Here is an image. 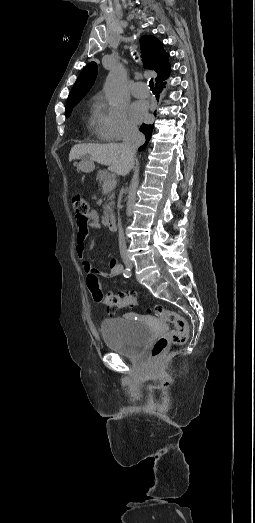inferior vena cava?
I'll return each instance as SVG.
<instances>
[{"label":"inferior vena cava","mask_w":255,"mask_h":523,"mask_svg":"<svg viewBox=\"0 0 255 523\" xmlns=\"http://www.w3.org/2000/svg\"><path fill=\"white\" fill-rule=\"evenodd\" d=\"M145 138L141 132H139L137 126H132V124H129L127 126V130L125 132V138L123 142V150L121 154L122 160L126 162L127 168L122 174V176H126L132 168H134V156L139 148V146H142L144 144ZM118 234H119V250L120 254H126L127 252V246L125 242V236L123 232V228L121 226V222L119 220L118 224Z\"/></svg>","instance_id":"602c4592"}]
</instances>
